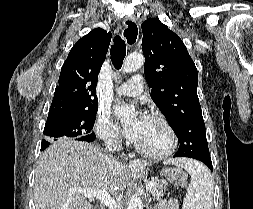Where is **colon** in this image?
<instances>
[{"label":"colon","mask_w":253,"mask_h":209,"mask_svg":"<svg viewBox=\"0 0 253 209\" xmlns=\"http://www.w3.org/2000/svg\"><path fill=\"white\" fill-rule=\"evenodd\" d=\"M168 177L170 182L175 185H184L187 179L185 172L181 170H173L169 172Z\"/></svg>","instance_id":"1"}]
</instances>
